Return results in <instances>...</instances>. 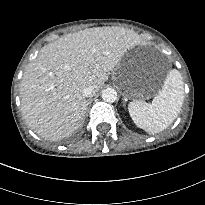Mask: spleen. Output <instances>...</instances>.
Listing matches in <instances>:
<instances>
[{
  "label": "spleen",
  "instance_id": "1",
  "mask_svg": "<svg viewBox=\"0 0 205 205\" xmlns=\"http://www.w3.org/2000/svg\"><path fill=\"white\" fill-rule=\"evenodd\" d=\"M183 101L184 82L180 72L173 69L151 103L134 100L129 103L128 111L139 128L155 134L167 128L177 118Z\"/></svg>",
  "mask_w": 205,
  "mask_h": 205
}]
</instances>
